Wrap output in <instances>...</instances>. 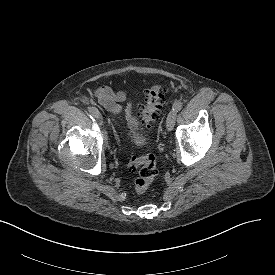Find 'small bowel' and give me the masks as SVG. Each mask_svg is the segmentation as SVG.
Wrapping results in <instances>:
<instances>
[{
    "instance_id": "obj_1",
    "label": "small bowel",
    "mask_w": 275,
    "mask_h": 275,
    "mask_svg": "<svg viewBox=\"0 0 275 275\" xmlns=\"http://www.w3.org/2000/svg\"><path fill=\"white\" fill-rule=\"evenodd\" d=\"M95 97L106 110L118 113L122 111L127 92L125 90L115 92L109 86H100L95 91Z\"/></svg>"
}]
</instances>
